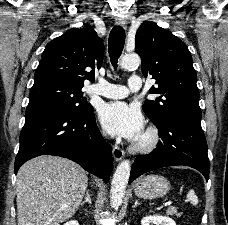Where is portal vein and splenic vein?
<instances>
[{
	"instance_id": "18ae733b",
	"label": "portal vein and splenic vein",
	"mask_w": 228,
	"mask_h": 225,
	"mask_svg": "<svg viewBox=\"0 0 228 225\" xmlns=\"http://www.w3.org/2000/svg\"><path fill=\"white\" fill-rule=\"evenodd\" d=\"M177 200L179 202H182L183 201V198L182 197H179ZM171 204H172V201L171 200H166V202L163 203V206L164 207H169Z\"/></svg>"
}]
</instances>
